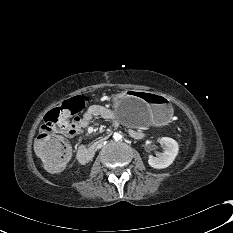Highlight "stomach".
<instances>
[{
    "instance_id": "stomach-1",
    "label": "stomach",
    "mask_w": 233,
    "mask_h": 233,
    "mask_svg": "<svg viewBox=\"0 0 233 233\" xmlns=\"http://www.w3.org/2000/svg\"><path fill=\"white\" fill-rule=\"evenodd\" d=\"M114 115L130 126L166 123L173 115V107L163 95L131 90L114 97Z\"/></svg>"
}]
</instances>
